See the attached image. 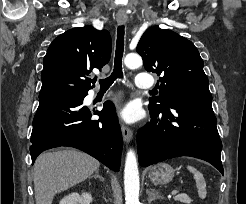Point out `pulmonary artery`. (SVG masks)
<instances>
[{
	"label": "pulmonary artery",
	"instance_id": "1",
	"mask_svg": "<svg viewBox=\"0 0 246 204\" xmlns=\"http://www.w3.org/2000/svg\"><path fill=\"white\" fill-rule=\"evenodd\" d=\"M135 84L138 89L148 90L153 87V79L148 73H139L136 76Z\"/></svg>",
	"mask_w": 246,
	"mask_h": 204
}]
</instances>
